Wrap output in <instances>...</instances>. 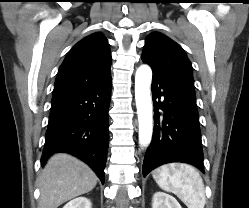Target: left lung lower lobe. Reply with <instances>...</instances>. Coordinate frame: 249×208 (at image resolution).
<instances>
[{"instance_id": "left-lung-lower-lobe-1", "label": "left lung lower lobe", "mask_w": 249, "mask_h": 208, "mask_svg": "<svg viewBox=\"0 0 249 208\" xmlns=\"http://www.w3.org/2000/svg\"><path fill=\"white\" fill-rule=\"evenodd\" d=\"M154 133L143 162L144 177L156 167L184 162L204 172L195 90L153 72Z\"/></svg>"}]
</instances>
